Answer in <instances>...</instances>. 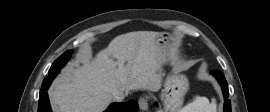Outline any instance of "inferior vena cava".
<instances>
[{
	"mask_svg": "<svg viewBox=\"0 0 270 112\" xmlns=\"http://www.w3.org/2000/svg\"><path fill=\"white\" fill-rule=\"evenodd\" d=\"M113 98L116 102H123L125 99V94L122 92H118L114 94Z\"/></svg>",
	"mask_w": 270,
	"mask_h": 112,
	"instance_id": "inferior-vena-cava-1",
	"label": "inferior vena cava"
}]
</instances>
